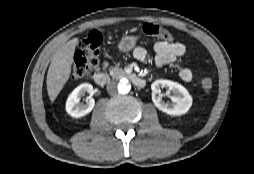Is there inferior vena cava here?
<instances>
[{
    "mask_svg": "<svg viewBox=\"0 0 254 174\" xmlns=\"http://www.w3.org/2000/svg\"><path fill=\"white\" fill-rule=\"evenodd\" d=\"M107 91L110 95H115L117 93V84L116 82H110L107 84Z\"/></svg>",
    "mask_w": 254,
    "mask_h": 174,
    "instance_id": "obj_1",
    "label": "inferior vena cava"
}]
</instances>
